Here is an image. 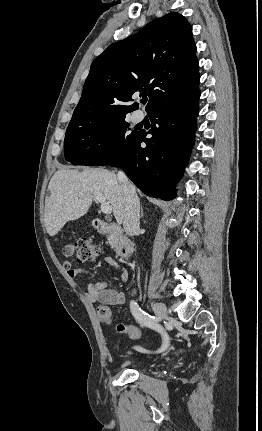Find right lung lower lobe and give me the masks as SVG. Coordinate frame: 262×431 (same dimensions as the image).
Listing matches in <instances>:
<instances>
[{
	"instance_id": "1",
	"label": "right lung lower lobe",
	"mask_w": 262,
	"mask_h": 431,
	"mask_svg": "<svg viewBox=\"0 0 262 431\" xmlns=\"http://www.w3.org/2000/svg\"><path fill=\"white\" fill-rule=\"evenodd\" d=\"M199 89L184 99L154 108L149 117L148 134L139 131L133 140L109 165L122 168L146 195L163 200L173 199L174 187L188 163L194 144L198 115ZM146 143L142 148L140 144Z\"/></svg>"
}]
</instances>
